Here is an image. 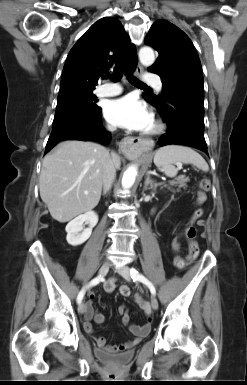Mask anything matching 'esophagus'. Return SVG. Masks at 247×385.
Instances as JSON below:
<instances>
[{"mask_svg":"<svg viewBox=\"0 0 247 385\" xmlns=\"http://www.w3.org/2000/svg\"><path fill=\"white\" fill-rule=\"evenodd\" d=\"M142 72H143V68L140 64H138L136 67L135 74L140 75ZM120 149L126 156H130L137 150H141L142 147L139 139L126 137L121 141Z\"/></svg>","mask_w":247,"mask_h":385,"instance_id":"1","label":"esophagus"}]
</instances>
